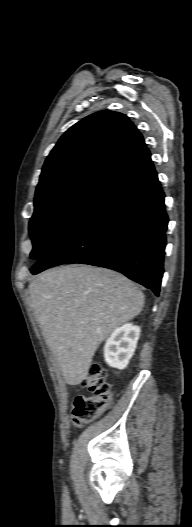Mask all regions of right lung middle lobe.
I'll use <instances>...</instances> for the list:
<instances>
[{
  "instance_id": "obj_1",
  "label": "right lung middle lobe",
  "mask_w": 192,
  "mask_h": 527,
  "mask_svg": "<svg viewBox=\"0 0 192 527\" xmlns=\"http://www.w3.org/2000/svg\"><path fill=\"white\" fill-rule=\"evenodd\" d=\"M107 180L85 177L45 190L35 196V211L29 223L32 259L43 258L80 216Z\"/></svg>"
}]
</instances>
